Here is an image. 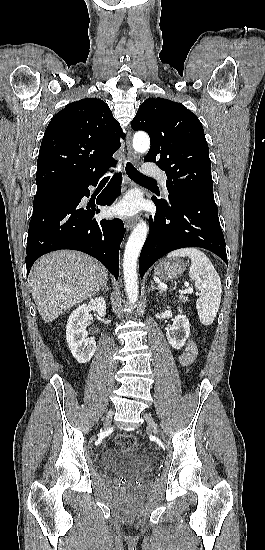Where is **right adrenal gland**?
Returning <instances> with one entry per match:
<instances>
[{
    "label": "right adrenal gland",
    "instance_id": "2a0ac1e0",
    "mask_svg": "<svg viewBox=\"0 0 265 550\" xmlns=\"http://www.w3.org/2000/svg\"><path fill=\"white\" fill-rule=\"evenodd\" d=\"M105 289V290H109L108 286H107V281L104 283L103 287H102V290Z\"/></svg>",
    "mask_w": 265,
    "mask_h": 550
}]
</instances>
